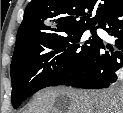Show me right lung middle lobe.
<instances>
[{
	"instance_id": "dd1d6c3e",
	"label": "right lung middle lobe",
	"mask_w": 123,
	"mask_h": 113,
	"mask_svg": "<svg viewBox=\"0 0 123 113\" xmlns=\"http://www.w3.org/2000/svg\"><path fill=\"white\" fill-rule=\"evenodd\" d=\"M92 35L88 38L86 31ZM96 28L73 29L15 47L11 63L12 105L40 89L64 85L84 69L100 44Z\"/></svg>"
}]
</instances>
